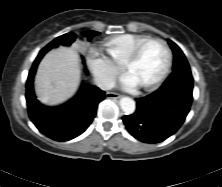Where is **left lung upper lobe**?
<instances>
[{
    "mask_svg": "<svg viewBox=\"0 0 222 187\" xmlns=\"http://www.w3.org/2000/svg\"><path fill=\"white\" fill-rule=\"evenodd\" d=\"M168 43L173 50L174 54V64H173V72H178L182 69H190L188 61L183 54L182 50L171 40H168Z\"/></svg>",
    "mask_w": 222,
    "mask_h": 187,
    "instance_id": "5c2ea615",
    "label": "left lung upper lobe"
}]
</instances>
